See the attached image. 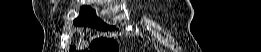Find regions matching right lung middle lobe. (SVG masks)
<instances>
[{"instance_id":"obj_1","label":"right lung middle lobe","mask_w":261,"mask_h":52,"mask_svg":"<svg viewBox=\"0 0 261 52\" xmlns=\"http://www.w3.org/2000/svg\"><path fill=\"white\" fill-rule=\"evenodd\" d=\"M75 25L89 26L98 30H112L114 26H108L102 20L95 16V10L88 6H83L80 16L74 21Z\"/></svg>"}]
</instances>
